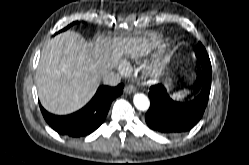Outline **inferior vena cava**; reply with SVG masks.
I'll return each mask as SVG.
<instances>
[{
  "label": "inferior vena cava",
  "mask_w": 249,
  "mask_h": 165,
  "mask_svg": "<svg viewBox=\"0 0 249 165\" xmlns=\"http://www.w3.org/2000/svg\"><path fill=\"white\" fill-rule=\"evenodd\" d=\"M101 78L105 85L116 86L121 82L119 74L114 72H105L101 75Z\"/></svg>",
  "instance_id": "obj_1"
}]
</instances>
